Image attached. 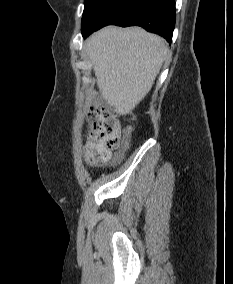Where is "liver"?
Wrapping results in <instances>:
<instances>
[{"instance_id":"liver-1","label":"liver","mask_w":233,"mask_h":284,"mask_svg":"<svg viewBox=\"0 0 233 284\" xmlns=\"http://www.w3.org/2000/svg\"><path fill=\"white\" fill-rule=\"evenodd\" d=\"M86 50L103 99L119 115L132 113L151 90L168 52L158 35L115 26L91 35Z\"/></svg>"}]
</instances>
